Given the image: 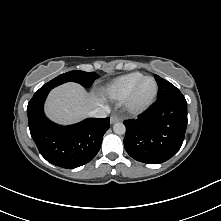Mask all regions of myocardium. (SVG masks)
Wrapping results in <instances>:
<instances>
[{
	"instance_id": "1",
	"label": "myocardium",
	"mask_w": 221,
	"mask_h": 221,
	"mask_svg": "<svg viewBox=\"0 0 221 221\" xmlns=\"http://www.w3.org/2000/svg\"><path fill=\"white\" fill-rule=\"evenodd\" d=\"M151 80L154 84L153 93L149 98L144 101H139L137 99V94L140 86L143 84L144 81ZM158 94V84L156 80L151 76H144L141 78L132 88L128 96L125 98L124 105L126 110L134 115H138L146 111L155 101Z\"/></svg>"
}]
</instances>
